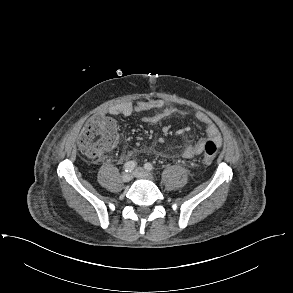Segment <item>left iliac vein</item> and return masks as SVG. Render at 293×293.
<instances>
[{
    "mask_svg": "<svg viewBox=\"0 0 293 293\" xmlns=\"http://www.w3.org/2000/svg\"><path fill=\"white\" fill-rule=\"evenodd\" d=\"M134 176L137 178H142V179H147V180H153L154 176L149 173L148 171L144 170L141 167H137L134 172H133Z\"/></svg>",
    "mask_w": 293,
    "mask_h": 293,
    "instance_id": "4c4485c4",
    "label": "left iliac vein"
}]
</instances>
